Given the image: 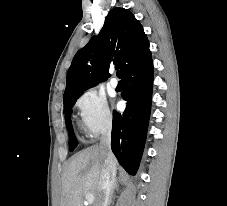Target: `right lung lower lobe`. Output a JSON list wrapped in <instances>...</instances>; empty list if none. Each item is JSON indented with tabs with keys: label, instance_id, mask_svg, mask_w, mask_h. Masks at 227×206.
Returning a JSON list of instances; mask_svg holds the SVG:
<instances>
[{
	"label": "right lung lower lobe",
	"instance_id": "98d812e1",
	"mask_svg": "<svg viewBox=\"0 0 227 206\" xmlns=\"http://www.w3.org/2000/svg\"><path fill=\"white\" fill-rule=\"evenodd\" d=\"M122 98L127 107L113 111L111 148L118 162L131 175L138 169L147 134L153 85L151 57L128 69L121 77Z\"/></svg>",
	"mask_w": 227,
	"mask_h": 206
}]
</instances>
